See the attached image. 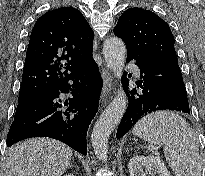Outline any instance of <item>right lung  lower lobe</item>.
Wrapping results in <instances>:
<instances>
[{
	"label": "right lung lower lobe",
	"instance_id": "obj_1",
	"mask_svg": "<svg viewBox=\"0 0 205 176\" xmlns=\"http://www.w3.org/2000/svg\"><path fill=\"white\" fill-rule=\"evenodd\" d=\"M69 80L74 83L69 84ZM101 87L98 67L92 59L41 93L14 117L7 146L31 137H50L86 155L87 130L98 110ZM69 92L73 98L62 102L60 93Z\"/></svg>",
	"mask_w": 205,
	"mask_h": 176
}]
</instances>
